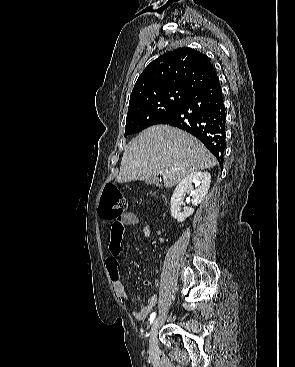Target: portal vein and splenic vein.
Instances as JSON below:
<instances>
[{"instance_id": "obj_1", "label": "portal vein and splenic vein", "mask_w": 295, "mask_h": 367, "mask_svg": "<svg viewBox=\"0 0 295 367\" xmlns=\"http://www.w3.org/2000/svg\"><path fill=\"white\" fill-rule=\"evenodd\" d=\"M166 172H168V171H161V174H165Z\"/></svg>"}]
</instances>
